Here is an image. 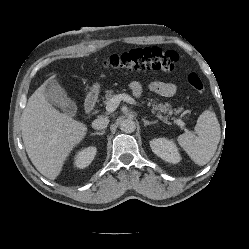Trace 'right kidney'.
I'll use <instances>...</instances> for the list:
<instances>
[{
  "instance_id": "right-kidney-1",
  "label": "right kidney",
  "mask_w": 249,
  "mask_h": 249,
  "mask_svg": "<svg viewBox=\"0 0 249 249\" xmlns=\"http://www.w3.org/2000/svg\"><path fill=\"white\" fill-rule=\"evenodd\" d=\"M96 155L95 147H88L79 151L75 156L74 165L77 168H85L90 165Z\"/></svg>"
}]
</instances>
